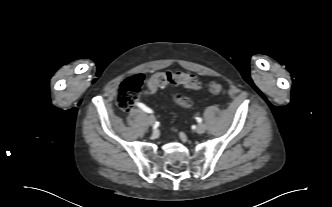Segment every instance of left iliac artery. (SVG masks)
Instances as JSON below:
<instances>
[{
	"label": "left iliac artery",
	"mask_w": 332,
	"mask_h": 207,
	"mask_svg": "<svg viewBox=\"0 0 332 207\" xmlns=\"http://www.w3.org/2000/svg\"><path fill=\"white\" fill-rule=\"evenodd\" d=\"M196 120H197L199 123L202 122V118H200V117H197Z\"/></svg>",
	"instance_id": "left-iliac-artery-1"
}]
</instances>
